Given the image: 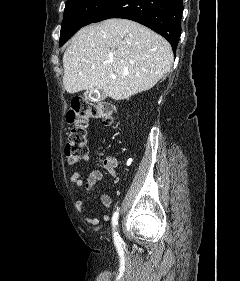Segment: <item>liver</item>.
<instances>
[{
	"label": "liver",
	"mask_w": 240,
	"mask_h": 281,
	"mask_svg": "<svg viewBox=\"0 0 240 281\" xmlns=\"http://www.w3.org/2000/svg\"><path fill=\"white\" fill-rule=\"evenodd\" d=\"M170 44L128 19L80 29L63 55V86L70 94L97 88L114 100L151 89L171 69Z\"/></svg>",
	"instance_id": "1"
}]
</instances>
